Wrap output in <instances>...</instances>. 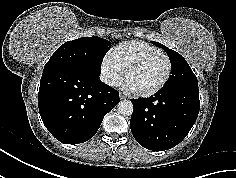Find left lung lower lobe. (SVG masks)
<instances>
[{"label": "left lung lower lobe", "mask_w": 236, "mask_h": 178, "mask_svg": "<svg viewBox=\"0 0 236 178\" xmlns=\"http://www.w3.org/2000/svg\"><path fill=\"white\" fill-rule=\"evenodd\" d=\"M131 102L132 134L141 146L153 151L179 144L194 125L200 108L196 85L164 86L154 96Z\"/></svg>", "instance_id": "0a47b994"}]
</instances>
